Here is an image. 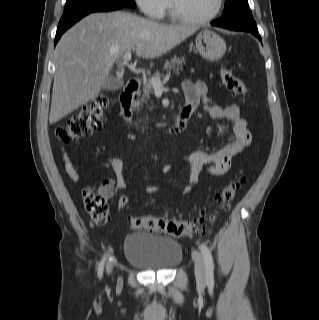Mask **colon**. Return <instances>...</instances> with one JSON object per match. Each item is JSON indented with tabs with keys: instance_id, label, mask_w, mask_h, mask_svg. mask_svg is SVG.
Masks as SVG:
<instances>
[{
	"instance_id": "5ec220e1",
	"label": "colon",
	"mask_w": 319,
	"mask_h": 320,
	"mask_svg": "<svg viewBox=\"0 0 319 320\" xmlns=\"http://www.w3.org/2000/svg\"><path fill=\"white\" fill-rule=\"evenodd\" d=\"M220 78L223 86L236 96L245 97L248 88L243 80L234 75L230 70L222 68ZM106 95L97 96L92 101L84 104L66 124L58 127L56 136L59 141L68 143L85 138L100 130L105 120V110L109 105ZM244 184L243 178L230 181L216 195L215 202L221 209L230 206L236 193ZM114 191V183L105 181L98 190L86 189L83 192V201L87 213L96 224H104L109 219V206L107 197ZM128 198L122 199V204H128ZM211 218L201 217L194 220L173 219L167 216L139 215L129 218V224L136 229L154 233L168 234L174 237H192L207 232Z\"/></svg>"
}]
</instances>
